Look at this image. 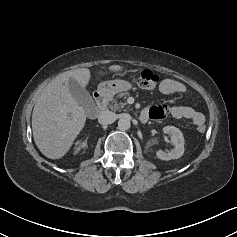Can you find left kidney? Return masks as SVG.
<instances>
[{"mask_svg":"<svg viewBox=\"0 0 237 237\" xmlns=\"http://www.w3.org/2000/svg\"><path fill=\"white\" fill-rule=\"evenodd\" d=\"M164 133L171 135V140L174 148L171 151L164 152L162 150L157 151V157L161 160L178 159L184 154V137L182 132L174 126H165L163 128Z\"/></svg>","mask_w":237,"mask_h":237,"instance_id":"left-kidney-1","label":"left kidney"}]
</instances>
